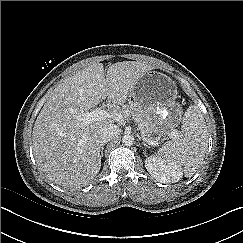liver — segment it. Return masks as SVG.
Instances as JSON below:
<instances>
[{
    "mask_svg": "<svg viewBox=\"0 0 243 243\" xmlns=\"http://www.w3.org/2000/svg\"><path fill=\"white\" fill-rule=\"evenodd\" d=\"M154 66L140 61L93 63L64 78L50 93L32 132L35 159L46 176L67 189L90 183L101 168V129L121 113L136 83ZM109 99L110 117L84 124L80 115Z\"/></svg>",
    "mask_w": 243,
    "mask_h": 243,
    "instance_id": "obj_1",
    "label": "liver"
}]
</instances>
